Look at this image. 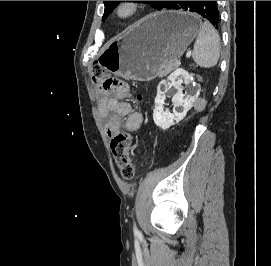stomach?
Here are the masks:
<instances>
[{"label":"stomach","mask_w":271,"mask_h":266,"mask_svg":"<svg viewBox=\"0 0 271 266\" xmlns=\"http://www.w3.org/2000/svg\"><path fill=\"white\" fill-rule=\"evenodd\" d=\"M198 17L185 11L152 14L108 42L99 64L114 75L150 81L179 59L199 32Z\"/></svg>","instance_id":"0dacf381"}]
</instances>
